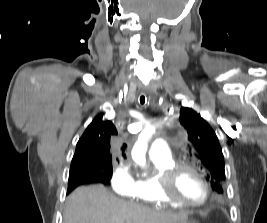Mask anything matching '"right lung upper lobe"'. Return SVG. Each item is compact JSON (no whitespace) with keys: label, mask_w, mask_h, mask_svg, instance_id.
<instances>
[{"label":"right lung upper lobe","mask_w":267,"mask_h":223,"mask_svg":"<svg viewBox=\"0 0 267 223\" xmlns=\"http://www.w3.org/2000/svg\"><path fill=\"white\" fill-rule=\"evenodd\" d=\"M102 117L103 114L96 116L79 139L71 163L72 172L99 173L106 176L112 169L108 147L110 137L116 135L117 130L111 121H104ZM78 165L83 167L74 170Z\"/></svg>","instance_id":"1"}]
</instances>
